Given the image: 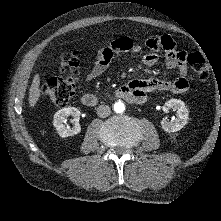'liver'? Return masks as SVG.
Segmentation results:
<instances>
[{"label": "liver", "instance_id": "liver-1", "mask_svg": "<svg viewBox=\"0 0 221 221\" xmlns=\"http://www.w3.org/2000/svg\"><path fill=\"white\" fill-rule=\"evenodd\" d=\"M39 86H40V76L39 74H36L33 78V81L29 90V105L31 107H34L36 105L41 95V89Z\"/></svg>", "mask_w": 221, "mask_h": 221}]
</instances>
